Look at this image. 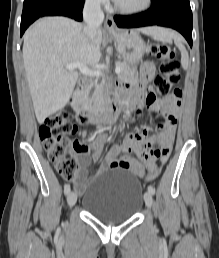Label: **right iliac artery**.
Masks as SVG:
<instances>
[{
	"instance_id": "right-iliac-artery-1",
	"label": "right iliac artery",
	"mask_w": 219,
	"mask_h": 258,
	"mask_svg": "<svg viewBox=\"0 0 219 258\" xmlns=\"http://www.w3.org/2000/svg\"><path fill=\"white\" fill-rule=\"evenodd\" d=\"M70 185L69 184H67L65 187H64V193H65V195H68L69 193H70Z\"/></svg>"
}]
</instances>
